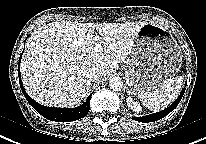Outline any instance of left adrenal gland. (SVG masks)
Here are the masks:
<instances>
[{
	"mask_svg": "<svg viewBox=\"0 0 206 144\" xmlns=\"http://www.w3.org/2000/svg\"><path fill=\"white\" fill-rule=\"evenodd\" d=\"M127 92H128V94H130V93H131L129 90H128Z\"/></svg>",
	"mask_w": 206,
	"mask_h": 144,
	"instance_id": "a2214340",
	"label": "left adrenal gland"
}]
</instances>
